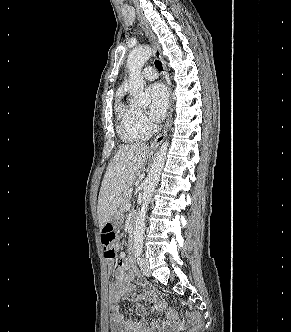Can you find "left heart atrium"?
Instances as JSON below:
<instances>
[{"instance_id":"obj_1","label":"left heart atrium","mask_w":291,"mask_h":332,"mask_svg":"<svg viewBox=\"0 0 291 332\" xmlns=\"http://www.w3.org/2000/svg\"><path fill=\"white\" fill-rule=\"evenodd\" d=\"M146 93L150 100L149 116L152 121L159 122L168 107V92L163 84L154 83L147 88Z\"/></svg>"}]
</instances>
